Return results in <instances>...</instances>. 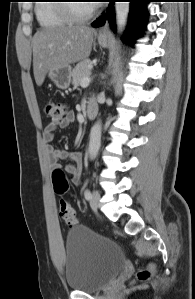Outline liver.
I'll list each match as a JSON object with an SVG mask.
<instances>
[{
  "label": "liver",
  "mask_w": 195,
  "mask_h": 299,
  "mask_svg": "<svg viewBox=\"0 0 195 299\" xmlns=\"http://www.w3.org/2000/svg\"><path fill=\"white\" fill-rule=\"evenodd\" d=\"M95 30L84 25L45 28L33 37V71L41 86L50 69L83 61L91 53Z\"/></svg>",
  "instance_id": "6515ba94"
}]
</instances>
